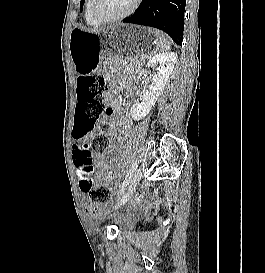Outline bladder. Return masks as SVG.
Listing matches in <instances>:
<instances>
[{
  "label": "bladder",
  "instance_id": "1",
  "mask_svg": "<svg viewBox=\"0 0 265 273\" xmlns=\"http://www.w3.org/2000/svg\"><path fill=\"white\" fill-rule=\"evenodd\" d=\"M111 221L119 232H126L133 225V219L129 214H115L111 217Z\"/></svg>",
  "mask_w": 265,
  "mask_h": 273
}]
</instances>
